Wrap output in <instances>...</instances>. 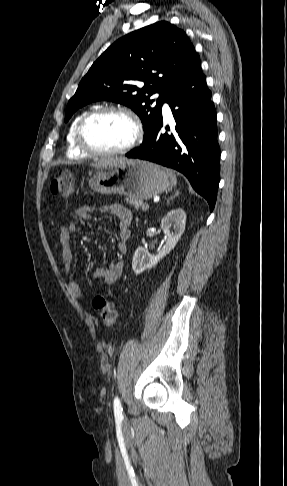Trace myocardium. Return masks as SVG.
I'll use <instances>...</instances> for the list:
<instances>
[{"mask_svg": "<svg viewBox=\"0 0 287 486\" xmlns=\"http://www.w3.org/2000/svg\"><path fill=\"white\" fill-rule=\"evenodd\" d=\"M107 113H118L125 116L133 127V136L125 146L119 149L112 151H98L87 145L84 139V129L89 121ZM142 137L143 129L138 117L131 110L116 105L104 106L87 112L81 117L75 129V142L78 149L87 156L94 158H111L124 155L134 149L140 143Z\"/></svg>", "mask_w": 287, "mask_h": 486, "instance_id": "obj_1", "label": "myocardium"}]
</instances>
